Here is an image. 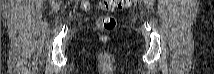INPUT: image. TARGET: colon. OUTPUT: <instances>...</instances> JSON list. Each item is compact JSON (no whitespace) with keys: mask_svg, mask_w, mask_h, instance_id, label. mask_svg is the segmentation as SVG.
Here are the masks:
<instances>
[{"mask_svg":"<svg viewBox=\"0 0 214 74\" xmlns=\"http://www.w3.org/2000/svg\"><path fill=\"white\" fill-rule=\"evenodd\" d=\"M132 0H107L99 2V6L105 11H113L116 8L127 9L132 5ZM85 10L90 9V2H83ZM117 21L113 16H104L99 20V26L105 31H112L116 28Z\"/></svg>","mask_w":214,"mask_h":74,"instance_id":"5ec220e1","label":"colon"}]
</instances>
